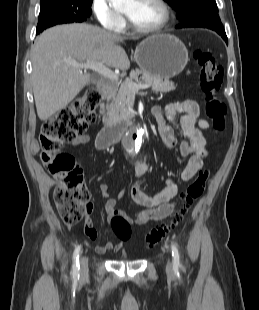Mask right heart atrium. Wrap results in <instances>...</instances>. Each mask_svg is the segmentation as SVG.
Here are the masks:
<instances>
[{
  "instance_id": "right-heart-atrium-1",
  "label": "right heart atrium",
  "mask_w": 259,
  "mask_h": 310,
  "mask_svg": "<svg viewBox=\"0 0 259 310\" xmlns=\"http://www.w3.org/2000/svg\"><path fill=\"white\" fill-rule=\"evenodd\" d=\"M92 11L99 23L111 31H121L125 27L124 17L112 9L107 0H93Z\"/></svg>"
}]
</instances>
